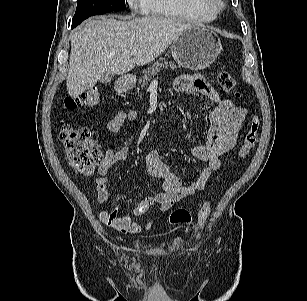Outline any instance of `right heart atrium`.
<instances>
[{"mask_svg": "<svg viewBox=\"0 0 307 301\" xmlns=\"http://www.w3.org/2000/svg\"><path fill=\"white\" fill-rule=\"evenodd\" d=\"M129 6L134 10L146 11L148 0H127Z\"/></svg>", "mask_w": 307, "mask_h": 301, "instance_id": "obj_1", "label": "right heart atrium"}]
</instances>
